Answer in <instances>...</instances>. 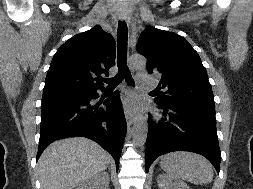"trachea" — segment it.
Segmentation results:
<instances>
[{"label":"trachea","mask_w":253,"mask_h":189,"mask_svg":"<svg viewBox=\"0 0 253 189\" xmlns=\"http://www.w3.org/2000/svg\"><path fill=\"white\" fill-rule=\"evenodd\" d=\"M127 41H128V28L125 21L118 22L117 31V66L118 73L115 77L104 78L103 82L108 84V88H115L123 79L130 86H134V80L131 72L127 66Z\"/></svg>","instance_id":"trachea-1"}]
</instances>
